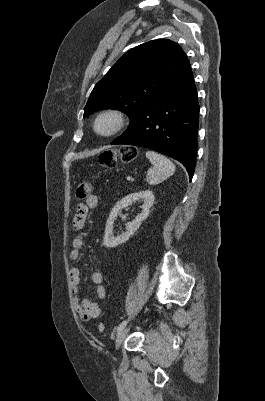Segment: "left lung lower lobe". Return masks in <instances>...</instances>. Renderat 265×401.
<instances>
[{"label": "left lung lower lobe", "instance_id": "obj_1", "mask_svg": "<svg viewBox=\"0 0 265 401\" xmlns=\"http://www.w3.org/2000/svg\"><path fill=\"white\" fill-rule=\"evenodd\" d=\"M199 104L190 64L111 144L146 147L181 162L190 180L197 155Z\"/></svg>", "mask_w": 265, "mask_h": 401}]
</instances>
